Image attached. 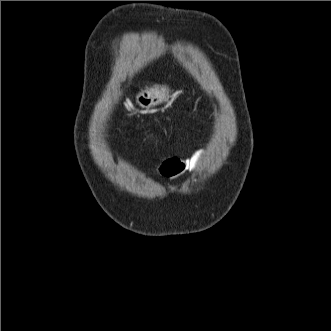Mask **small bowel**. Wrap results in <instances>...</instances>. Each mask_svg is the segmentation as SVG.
Returning a JSON list of instances; mask_svg holds the SVG:
<instances>
[{"instance_id": "c3829d8e", "label": "small bowel", "mask_w": 331, "mask_h": 331, "mask_svg": "<svg viewBox=\"0 0 331 331\" xmlns=\"http://www.w3.org/2000/svg\"><path fill=\"white\" fill-rule=\"evenodd\" d=\"M202 155L203 150L199 149L185 159L177 157L166 159L160 164L158 171L163 177L173 179L184 172H191L196 169L201 161Z\"/></svg>"}]
</instances>
